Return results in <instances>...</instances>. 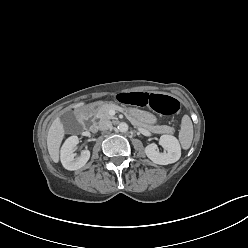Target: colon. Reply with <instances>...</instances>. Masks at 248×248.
<instances>
[{"label":"colon","instance_id":"1","mask_svg":"<svg viewBox=\"0 0 248 248\" xmlns=\"http://www.w3.org/2000/svg\"><path fill=\"white\" fill-rule=\"evenodd\" d=\"M119 99L126 104L149 106L162 115H173L179 108V103L175 98L163 94L127 92L120 94Z\"/></svg>","mask_w":248,"mask_h":248}]
</instances>
